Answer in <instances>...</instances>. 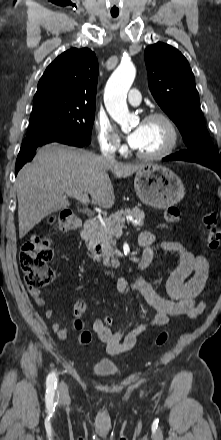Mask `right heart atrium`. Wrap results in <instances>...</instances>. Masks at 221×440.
<instances>
[{
	"mask_svg": "<svg viewBox=\"0 0 221 440\" xmlns=\"http://www.w3.org/2000/svg\"><path fill=\"white\" fill-rule=\"evenodd\" d=\"M100 149L107 154H117L124 149L121 137L104 114H97L93 121Z\"/></svg>",
	"mask_w": 221,
	"mask_h": 440,
	"instance_id": "d8ad5b80",
	"label": "right heart atrium"
}]
</instances>
